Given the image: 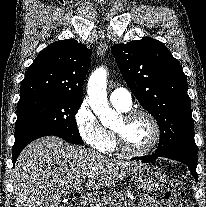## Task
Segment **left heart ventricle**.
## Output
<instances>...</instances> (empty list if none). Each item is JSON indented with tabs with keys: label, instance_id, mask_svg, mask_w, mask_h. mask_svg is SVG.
<instances>
[{
	"label": "left heart ventricle",
	"instance_id": "1",
	"mask_svg": "<svg viewBox=\"0 0 206 207\" xmlns=\"http://www.w3.org/2000/svg\"><path fill=\"white\" fill-rule=\"evenodd\" d=\"M115 129L122 133L126 145L132 150L145 149L153 138L152 125L149 120L143 117L128 123L121 119Z\"/></svg>",
	"mask_w": 206,
	"mask_h": 207
}]
</instances>
